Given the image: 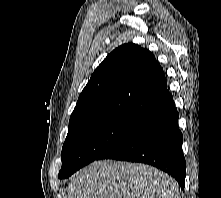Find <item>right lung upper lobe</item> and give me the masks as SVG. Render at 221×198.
Wrapping results in <instances>:
<instances>
[{
    "instance_id": "right-lung-upper-lobe-1",
    "label": "right lung upper lobe",
    "mask_w": 221,
    "mask_h": 198,
    "mask_svg": "<svg viewBox=\"0 0 221 198\" xmlns=\"http://www.w3.org/2000/svg\"><path fill=\"white\" fill-rule=\"evenodd\" d=\"M170 98L163 69L150 51L123 44L92 74L71 114L68 132L111 116L142 120Z\"/></svg>"
}]
</instances>
